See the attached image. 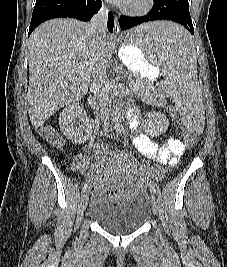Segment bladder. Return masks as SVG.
<instances>
[{
    "label": "bladder",
    "instance_id": "bladder-1",
    "mask_svg": "<svg viewBox=\"0 0 227 267\" xmlns=\"http://www.w3.org/2000/svg\"><path fill=\"white\" fill-rule=\"evenodd\" d=\"M150 207L143 195L119 200H97L89 211V218L114 234H127L139 229L149 218Z\"/></svg>",
    "mask_w": 227,
    "mask_h": 267
}]
</instances>
